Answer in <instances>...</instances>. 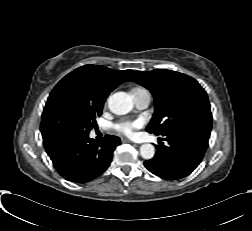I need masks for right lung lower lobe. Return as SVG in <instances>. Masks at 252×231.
<instances>
[{
  "label": "right lung lower lobe",
  "instance_id": "98d812e1",
  "mask_svg": "<svg viewBox=\"0 0 252 231\" xmlns=\"http://www.w3.org/2000/svg\"><path fill=\"white\" fill-rule=\"evenodd\" d=\"M117 136L106 135L100 143L88 135L68 140L48 153L58 173L66 180L86 183L101 175L110 165Z\"/></svg>",
  "mask_w": 252,
  "mask_h": 231
}]
</instances>
